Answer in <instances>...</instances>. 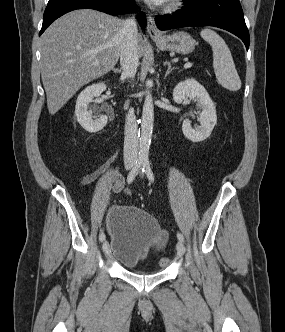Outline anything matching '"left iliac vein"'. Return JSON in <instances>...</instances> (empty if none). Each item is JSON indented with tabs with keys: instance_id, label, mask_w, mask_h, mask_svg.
Masks as SVG:
<instances>
[{
	"instance_id": "left-iliac-vein-1",
	"label": "left iliac vein",
	"mask_w": 285,
	"mask_h": 332,
	"mask_svg": "<svg viewBox=\"0 0 285 332\" xmlns=\"http://www.w3.org/2000/svg\"><path fill=\"white\" fill-rule=\"evenodd\" d=\"M176 249H177V255L179 257H182L184 255V253H185V246H184V244L181 241H179L177 243Z\"/></svg>"
}]
</instances>
